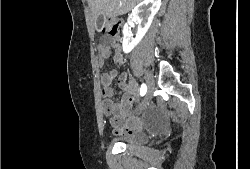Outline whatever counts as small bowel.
Returning a JSON list of instances; mask_svg holds the SVG:
<instances>
[{
	"label": "small bowel",
	"mask_w": 250,
	"mask_h": 169,
	"mask_svg": "<svg viewBox=\"0 0 250 169\" xmlns=\"http://www.w3.org/2000/svg\"><path fill=\"white\" fill-rule=\"evenodd\" d=\"M110 46V44H100V65H104L105 61L110 57ZM100 56L102 57V60H100ZM114 61L117 65H121L123 63L124 59L120 50H116ZM115 75L116 71L110 70L101 76L100 80L103 94L102 108L107 115L111 116L112 124L118 127L120 132L130 135L138 131L141 127V122L138 118H128L129 111L131 110L133 104L138 100L139 86L135 79H128L127 74H122L119 77V86L123 90V95L117 103H114L111 99L113 96L111 84ZM122 123H124L123 126H121Z\"/></svg>",
	"instance_id": "obj_1"
}]
</instances>
